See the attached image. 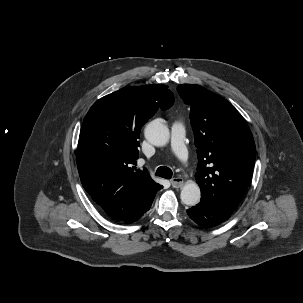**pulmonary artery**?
<instances>
[{"mask_svg": "<svg viewBox=\"0 0 303 303\" xmlns=\"http://www.w3.org/2000/svg\"><path fill=\"white\" fill-rule=\"evenodd\" d=\"M185 134L184 124L181 121H174L171 126V150L182 162H186L188 159Z\"/></svg>", "mask_w": 303, "mask_h": 303, "instance_id": "1", "label": "pulmonary artery"}]
</instances>
